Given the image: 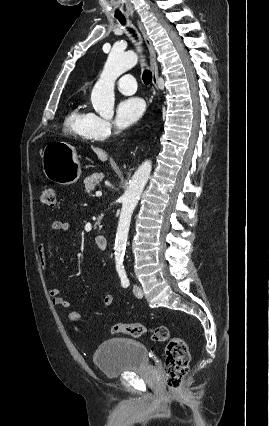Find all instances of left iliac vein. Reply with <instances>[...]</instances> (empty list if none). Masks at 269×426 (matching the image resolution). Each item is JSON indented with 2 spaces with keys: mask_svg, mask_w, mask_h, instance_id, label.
I'll return each instance as SVG.
<instances>
[{
  "mask_svg": "<svg viewBox=\"0 0 269 426\" xmlns=\"http://www.w3.org/2000/svg\"><path fill=\"white\" fill-rule=\"evenodd\" d=\"M133 292H134V294L137 298H142L143 292H142V290L139 286L134 284L133 285Z\"/></svg>",
  "mask_w": 269,
  "mask_h": 426,
  "instance_id": "1",
  "label": "left iliac vein"
}]
</instances>
